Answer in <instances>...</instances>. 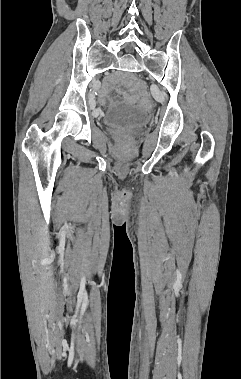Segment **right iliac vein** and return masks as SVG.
<instances>
[{"label": "right iliac vein", "mask_w": 241, "mask_h": 379, "mask_svg": "<svg viewBox=\"0 0 241 379\" xmlns=\"http://www.w3.org/2000/svg\"><path fill=\"white\" fill-rule=\"evenodd\" d=\"M95 113H96V114H98V111H97V110H95Z\"/></svg>", "instance_id": "63e3f726"}]
</instances>
